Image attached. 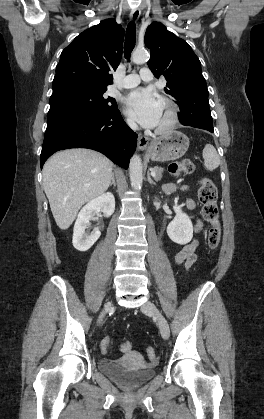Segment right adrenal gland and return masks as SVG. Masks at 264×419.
<instances>
[{
	"label": "right adrenal gland",
	"instance_id": "2a0ac1e0",
	"mask_svg": "<svg viewBox=\"0 0 264 419\" xmlns=\"http://www.w3.org/2000/svg\"><path fill=\"white\" fill-rule=\"evenodd\" d=\"M114 186V187H116V183H115V175H114V173L112 174V182L110 183V185L109 186Z\"/></svg>",
	"mask_w": 264,
	"mask_h": 419
}]
</instances>
